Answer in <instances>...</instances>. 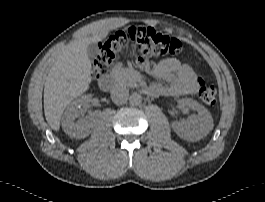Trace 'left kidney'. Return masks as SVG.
<instances>
[{
    "instance_id": "1",
    "label": "left kidney",
    "mask_w": 265,
    "mask_h": 202,
    "mask_svg": "<svg viewBox=\"0 0 265 202\" xmlns=\"http://www.w3.org/2000/svg\"><path fill=\"white\" fill-rule=\"evenodd\" d=\"M180 107H187L197 114L192 115L187 121L173 122L172 128L182 139L195 142L203 137L213 129V118L210 112L197 101L184 98L178 101Z\"/></svg>"
}]
</instances>
